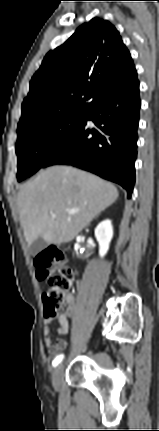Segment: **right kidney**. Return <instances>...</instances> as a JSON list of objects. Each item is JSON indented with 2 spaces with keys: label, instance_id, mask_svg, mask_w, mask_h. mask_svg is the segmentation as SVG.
<instances>
[{
  "label": "right kidney",
  "instance_id": "obj_1",
  "mask_svg": "<svg viewBox=\"0 0 159 431\" xmlns=\"http://www.w3.org/2000/svg\"><path fill=\"white\" fill-rule=\"evenodd\" d=\"M95 237L99 243V255L100 257H104L113 237V228L110 220H104L96 227Z\"/></svg>",
  "mask_w": 159,
  "mask_h": 431
}]
</instances>
